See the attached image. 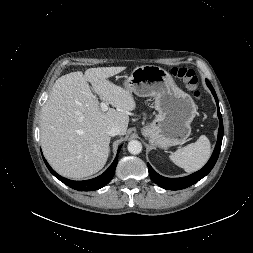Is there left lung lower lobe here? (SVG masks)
<instances>
[{
	"label": "left lung lower lobe",
	"mask_w": 253,
	"mask_h": 253,
	"mask_svg": "<svg viewBox=\"0 0 253 253\" xmlns=\"http://www.w3.org/2000/svg\"><path fill=\"white\" fill-rule=\"evenodd\" d=\"M206 84L209 87V89L211 90V92L215 98V101L217 104L218 118L220 121V126H219V131H218V139H217V143H216L214 152H213L211 158L209 159V161L207 162V164L201 170H199L189 176L181 177V178L163 177V176L159 175L150 166V164H148L149 175H150L152 181L164 189L181 190V189L187 188V187L195 184L196 182L201 180L203 177H205L212 170V168L214 167V165L218 159L220 149H221V144H222V138H223V122H222V116H221L220 109H219V102H218L217 95H216L211 83L208 80H206Z\"/></svg>",
	"instance_id": "left-lung-lower-lobe-1"
}]
</instances>
